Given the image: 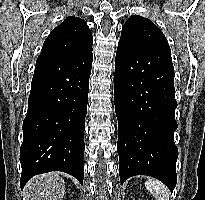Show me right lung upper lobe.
Returning <instances> with one entry per match:
<instances>
[{"instance_id":"right-lung-upper-lobe-1","label":"right lung upper lobe","mask_w":205,"mask_h":200,"mask_svg":"<svg viewBox=\"0 0 205 200\" xmlns=\"http://www.w3.org/2000/svg\"><path fill=\"white\" fill-rule=\"evenodd\" d=\"M92 44V33L86 22L70 16L49 34L40 56H76L92 49Z\"/></svg>"}]
</instances>
